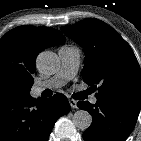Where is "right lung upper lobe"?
Segmentation results:
<instances>
[{
    "label": "right lung upper lobe",
    "mask_w": 141,
    "mask_h": 141,
    "mask_svg": "<svg viewBox=\"0 0 141 141\" xmlns=\"http://www.w3.org/2000/svg\"><path fill=\"white\" fill-rule=\"evenodd\" d=\"M65 40L63 34L53 28L20 26L10 30L0 39V77L24 74L33 78L37 55Z\"/></svg>",
    "instance_id": "obj_1"
}]
</instances>
